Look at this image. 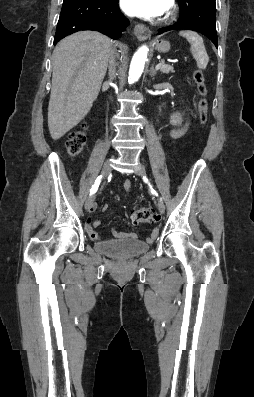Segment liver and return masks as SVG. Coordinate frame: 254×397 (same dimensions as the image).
Masks as SVG:
<instances>
[{"mask_svg":"<svg viewBox=\"0 0 254 397\" xmlns=\"http://www.w3.org/2000/svg\"><path fill=\"white\" fill-rule=\"evenodd\" d=\"M114 42L94 31L60 41L53 52L48 127L58 140L89 112L104 79ZM124 49V47H122Z\"/></svg>","mask_w":254,"mask_h":397,"instance_id":"liver-1","label":"liver"}]
</instances>
